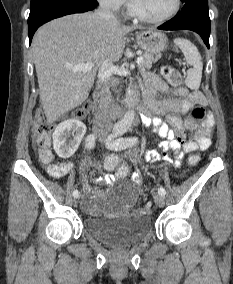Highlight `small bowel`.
I'll list each match as a JSON object with an SVG mask.
<instances>
[{"mask_svg": "<svg viewBox=\"0 0 233 284\" xmlns=\"http://www.w3.org/2000/svg\"><path fill=\"white\" fill-rule=\"evenodd\" d=\"M147 86V100L141 109V120L144 125L151 127L154 132L164 140L160 142L161 153L155 149L148 150L144 160L157 163L164 161L179 167L185 154H191L195 151L207 150L211 145V128L214 124L213 117L208 115L203 124L195 131L192 138L186 139L185 126L181 116L186 114L193 106H204L206 99L200 91H188L184 87L175 90L173 97L159 99L158 93H164L168 90L167 84L157 75L148 74L145 77ZM163 117V118H162ZM173 152L174 156H170ZM131 159L134 163L140 164L142 158L138 153H132ZM73 165L69 161L52 163L47 166V173L56 179L69 175ZM114 180V177L105 178L107 183ZM132 180L139 183L141 174L136 170L132 174ZM84 189L86 197L83 202L84 209L89 213L97 211V204L92 197L91 180L87 175L83 176Z\"/></svg>", "mask_w": 233, "mask_h": 284, "instance_id": "obj_1", "label": "small bowel"}]
</instances>
